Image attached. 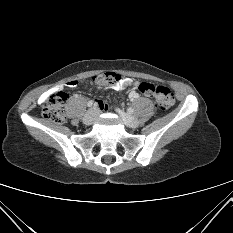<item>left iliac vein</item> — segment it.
Instances as JSON below:
<instances>
[{
	"label": "left iliac vein",
	"mask_w": 233,
	"mask_h": 233,
	"mask_svg": "<svg viewBox=\"0 0 233 233\" xmlns=\"http://www.w3.org/2000/svg\"><path fill=\"white\" fill-rule=\"evenodd\" d=\"M118 113L120 114L121 118L123 119L126 126L130 128H136L139 125V121L136 117L125 113L124 111L117 109Z\"/></svg>",
	"instance_id": "1"
}]
</instances>
